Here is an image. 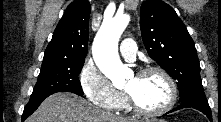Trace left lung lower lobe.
I'll return each instance as SVG.
<instances>
[{
    "instance_id": "obj_1",
    "label": "left lung lower lobe",
    "mask_w": 221,
    "mask_h": 122,
    "mask_svg": "<svg viewBox=\"0 0 221 122\" xmlns=\"http://www.w3.org/2000/svg\"><path fill=\"white\" fill-rule=\"evenodd\" d=\"M182 108L197 109V110L203 112L204 114H206V116L209 118V120L212 121L211 110H210L209 104L206 99L183 102L181 105L172 109L171 111L167 112L166 114L171 113L176 110H179V109H182Z\"/></svg>"
}]
</instances>
